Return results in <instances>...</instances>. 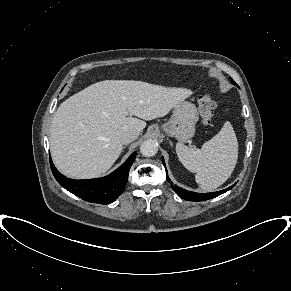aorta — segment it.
Wrapping results in <instances>:
<instances>
[{
  "mask_svg": "<svg viewBox=\"0 0 291 291\" xmlns=\"http://www.w3.org/2000/svg\"><path fill=\"white\" fill-rule=\"evenodd\" d=\"M158 151V145L153 140H146L140 146V152L145 157H152Z\"/></svg>",
  "mask_w": 291,
  "mask_h": 291,
  "instance_id": "aorta-1",
  "label": "aorta"
}]
</instances>
